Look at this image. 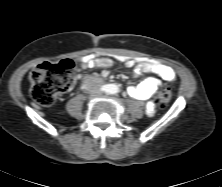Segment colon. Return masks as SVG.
<instances>
[{"label":"colon","mask_w":222,"mask_h":187,"mask_svg":"<svg viewBox=\"0 0 222 187\" xmlns=\"http://www.w3.org/2000/svg\"><path fill=\"white\" fill-rule=\"evenodd\" d=\"M74 68L75 63L72 60L37 65L29 75L33 100L41 106L52 105L59 95L66 92L73 84ZM171 99V91L161 86L156 94L155 106L163 108L170 103Z\"/></svg>","instance_id":"colon-1"}]
</instances>
